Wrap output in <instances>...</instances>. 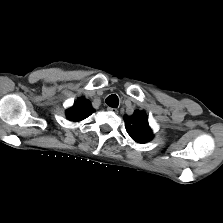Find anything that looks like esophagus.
<instances>
[{
    "label": "esophagus",
    "instance_id": "1",
    "mask_svg": "<svg viewBox=\"0 0 223 223\" xmlns=\"http://www.w3.org/2000/svg\"><path fill=\"white\" fill-rule=\"evenodd\" d=\"M107 110L113 114H118V110L116 108L108 107Z\"/></svg>",
    "mask_w": 223,
    "mask_h": 223
}]
</instances>
